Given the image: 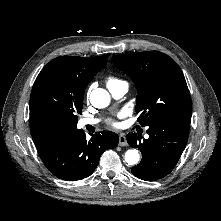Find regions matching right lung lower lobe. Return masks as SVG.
I'll return each mask as SVG.
<instances>
[{
  "label": "right lung lower lobe",
  "instance_id": "right-lung-lower-lobe-1",
  "mask_svg": "<svg viewBox=\"0 0 221 221\" xmlns=\"http://www.w3.org/2000/svg\"><path fill=\"white\" fill-rule=\"evenodd\" d=\"M118 142L119 137L114 132L101 131L87 140L85 133L77 130L35 145L41 160L53 175L65 181H74L90 176L101 154L115 148Z\"/></svg>",
  "mask_w": 221,
  "mask_h": 221
}]
</instances>
